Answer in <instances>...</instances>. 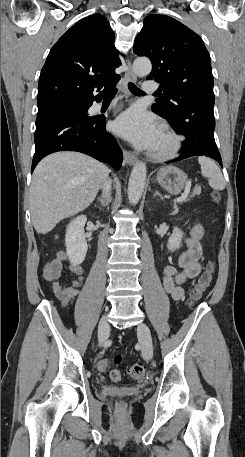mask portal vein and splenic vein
Instances as JSON below:
<instances>
[{"instance_id":"1","label":"portal vein and splenic vein","mask_w":245,"mask_h":457,"mask_svg":"<svg viewBox=\"0 0 245 457\" xmlns=\"http://www.w3.org/2000/svg\"><path fill=\"white\" fill-rule=\"evenodd\" d=\"M191 187H192V182H186V185H185V190L183 192V194H181V196H178V198H175V202H182V200H186L190 190H191Z\"/></svg>"}]
</instances>
